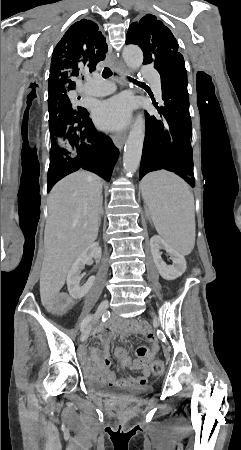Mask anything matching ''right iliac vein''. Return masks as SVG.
Returning a JSON list of instances; mask_svg holds the SVG:
<instances>
[{"label": "right iliac vein", "mask_w": 241, "mask_h": 450, "mask_svg": "<svg viewBox=\"0 0 241 450\" xmlns=\"http://www.w3.org/2000/svg\"><path fill=\"white\" fill-rule=\"evenodd\" d=\"M107 308H108V301H102L97 308L94 321H96L107 310ZM90 331H91V324L87 325L82 331L81 341H85L88 338Z\"/></svg>", "instance_id": "63e3f726"}]
</instances>
